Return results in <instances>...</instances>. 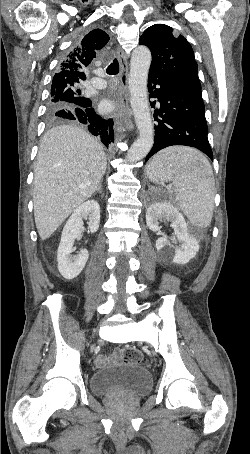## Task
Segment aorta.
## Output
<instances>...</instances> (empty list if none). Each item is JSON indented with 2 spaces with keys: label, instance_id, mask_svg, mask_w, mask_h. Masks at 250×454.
Segmentation results:
<instances>
[{
  "label": "aorta",
  "instance_id": "aorta-1",
  "mask_svg": "<svg viewBox=\"0 0 250 454\" xmlns=\"http://www.w3.org/2000/svg\"><path fill=\"white\" fill-rule=\"evenodd\" d=\"M151 60V52L147 47L138 46L134 49L130 62L128 84L130 104L139 137L127 153V159L131 162L143 159L154 144V126L149 109L147 89Z\"/></svg>",
  "mask_w": 250,
  "mask_h": 454
}]
</instances>
